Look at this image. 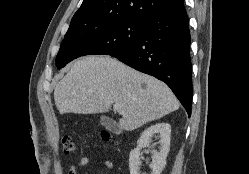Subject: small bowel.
I'll return each mask as SVG.
<instances>
[{"label": "small bowel", "mask_w": 249, "mask_h": 174, "mask_svg": "<svg viewBox=\"0 0 249 174\" xmlns=\"http://www.w3.org/2000/svg\"><path fill=\"white\" fill-rule=\"evenodd\" d=\"M91 161V157H82L77 163H74L69 167L68 174H78L79 170L88 165ZM102 165L109 170L113 169V163L110 160H104Z\"/></svg>", "instance_id": "c3829d8e"}]
</instances>
